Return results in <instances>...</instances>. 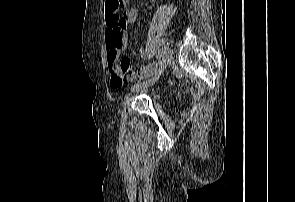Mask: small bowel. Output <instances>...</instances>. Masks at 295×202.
Wrapping results in <instances>:
<instances>
[{
  "mask_svg": "<svg viewBox=\"0 0 295 202\" xmlns=\"http://www.w3.org/2000/svg\"><path fill=\"white\" fill-rule=\"evenodd\" d=\"M138 16L139 10L137 8H127L123 12L122 16H120V21L118 24L112 26L111 23H109L112 15H106L107 62L110 73V84L114 89L120 88L124 82H134L146 77L155 68V64H152L141 66L138 71L133 72V65L130 63V59H119L122 57L123 52L127 46V36L124 33V28L128 24L134 23ZM139 54L145 59L149 58L150 56L148 49H141ZM116 61L118 62V68L114 65Z\"/></svg>",
  "mask_w": 295,
  "mask_h": 202,
  "instance_id": "small-bowel-1",
  "label": "small bowel"
}]
</instances>
